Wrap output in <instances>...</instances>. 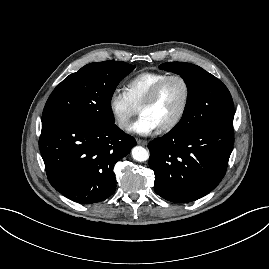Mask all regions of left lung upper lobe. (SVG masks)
<instances>
[{
  "label": "left lung upper lobe",
  "instance_id": "1",
  "mask_svg": "<svg viewBox=\"0 0 269 269\" xmlns=\"http://www.w3.org/2000/svg\"><path fill=\"white\" fill-rule=\"evenodd\" d=\"M159 68L179 74L189 90L184 115L172 132H190L213 122H233V100L219 79L201 67L185 62H167Z\"/></svg>",
  "mask_w": 269,
  "mask_h": 269
}]
</instances>
